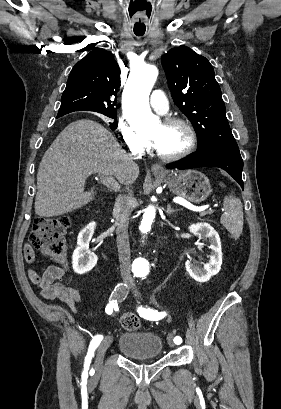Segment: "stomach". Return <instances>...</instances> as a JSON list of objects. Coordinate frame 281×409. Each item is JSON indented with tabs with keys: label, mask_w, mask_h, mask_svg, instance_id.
Listing matches in <instances>:
<instances>
[{
	"label": "stomach",
	"mask_w": 281,
	"mask_h": 409,
	"mask_svg": "<svg viewBox=\"0 0 281 409\" xmlns=\"http://www.w3.org/2000/svg\"><path fill=\"white\" fill-rule=\"evenodd\" d=\"M160 178L174 194L183 196L190 202H202L212 192L209 178L199 170H177L170 172L167 178L166 176Z\"/></svg>",
	"instance_id": "stomach-1"
}]
</instances>
